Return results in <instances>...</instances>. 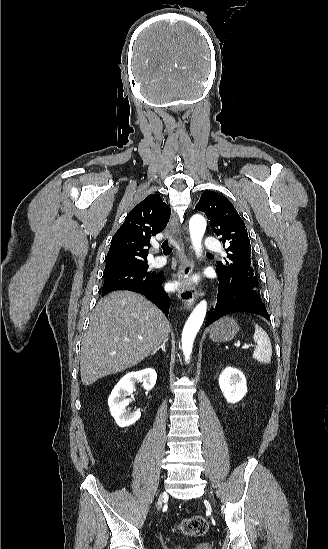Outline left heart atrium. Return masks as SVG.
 <instances>
[{
    "instance_id": "1",
    "label": "left heart atrium",
    "mask_w": 328,
    "mask_h": 549,
    "mask_svg": "<svg viewBox=\"0 0 328 549\" xmlns=\"http://www.w3.org/2000/svg\"><path fill=\"white\" fill-rule=\"evenodd\" d=\"M191 282H192V280H191V279H188V280H186L185 283H186V284H190Z\"/></svg>"
}]
</instances>
